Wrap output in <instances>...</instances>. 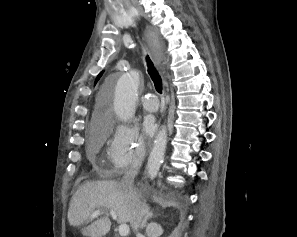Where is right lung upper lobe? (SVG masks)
<instances>
[{
	"mask_svg": "<svg viewBox=\"0 0 297 237\" xmlns=\"http://www.w3.org/2000/svg\"><path fill=\"white\" fill-rule=\"evenodd\" d=\"M101 76H102V72L98 75V77H97L95 83H97V81L100 79Z\"/></svg>",
	"mask_w": 297,
	"mask_h": 237,
	"instance_id": "cb5924a9",
	"label": "right lung upper lobe"
}]
</instances>
